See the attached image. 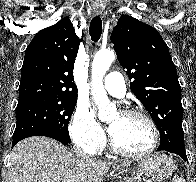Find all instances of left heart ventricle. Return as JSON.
<instances>
[{"mask_svg":"<svg viewBox=\"0 0 196 182\" xmlns=\"http://www.w3.org/2000/svg\"><path fill=\"white\" fill-rule=\"evenodd\" d=\"M108 123L109 126L115 127L112 136L122 148L132 152H142L150 146L151 130L143 119L114 114Z\"/></svg>","mask_w":196,"mask_h":182,"instance_id":"1","label":"left heart ventricle"}]
</instances>
